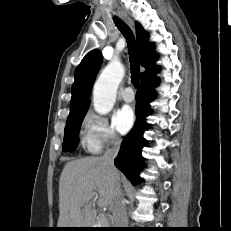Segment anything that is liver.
Masks as SVG:
<instances>
[{
	"label": "liver",
	"mask_w": 231,
	"mask_h": 231,
	"mask_svg": "<svg viewBox=\"0 0 231 231\" xmlns=\"http://www.w3.org/2000/svg\"><path fill=\"white\" fill-rule=\"evenodd\" d=\"M118 170L108 171L100 157H86L67 162L59 180L58 228H91L97 212L92 208V194H99L103 207L114 206V180Z\"/></svg>",
	"instance_id": "liver-1"
}]
</instances>
